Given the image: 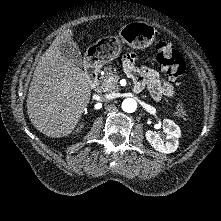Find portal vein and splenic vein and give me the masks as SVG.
Instances as JSON below:
<instances>
[{"instance_id":"obj_1","label":"portal vein and splenic vein","mask_w":221,"mask_h":221,"mask_svg":"<svg viewBox=\"0 0 221 221\" xmlns=\"http://www.w3.org/2000/svg\"><path fill=\"white\" fill-rule=\"evenodd\" d=\"M114 80L113 77L109 78L108 82L111 83Z\"/></svg>"}]
</instances>
